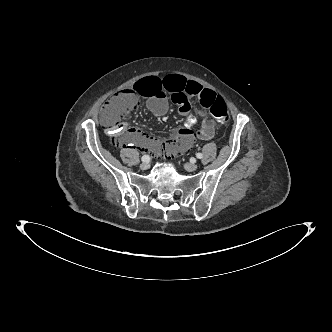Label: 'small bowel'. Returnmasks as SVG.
<instances>
[{"instance_id": "c3829d8e", "label": "small bowel", "mask_w": 332, "mask_h": 332, "mask_svg": "<svg viewBox=\"0 0 332 332\" xmlns=\"http://www.w3.org/2000/svg\"><path fill=\"white\" fill-rule=\"evenodd\" d=\"M132 89L144 101L148 109L156 116H163L169 110L170 103L179 107L180 114L186 116L192 109L190 98H198L202 105L210 111L215 93L204 88L195 81H190L178 74L161 76H142L132 82ZM103 121V111L101 114ZM121 144L124 147L137 146L152 151L155 155H163L188 149L195 139L210 140L214 137V121L208 116L198 129L189 132L179 130L173 140L163 142L137 128H126L122 124Z\"/></svg>"}]
</instances>
